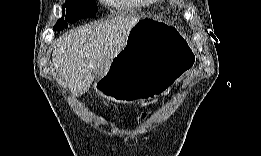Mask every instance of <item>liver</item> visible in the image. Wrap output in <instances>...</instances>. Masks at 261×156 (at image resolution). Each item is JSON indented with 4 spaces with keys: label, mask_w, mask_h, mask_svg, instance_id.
Returning <instances> with one entry per match:
<instances>
[{
    "label": "liver",
    "mask_w": 261,
    "mask_h": 156,
    "mask_svg": "<svg viewBox=\"0 0 261 156\" xmlns=\"http://www.w3.org/2000/svg\"><path fill=\"white\" fill-rule=\"evenodd\" d=\"M138 16H120L74 28L56 42L52 62L74 96L85 93L109 71Z\"/></svg>",
    "instance_id": "obj_1"
}]
</instances>
